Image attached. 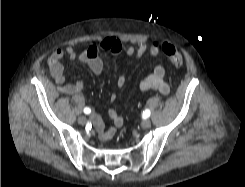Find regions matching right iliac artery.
<instances>
[{"label":"right iliac artery","mask_w":245,"mask_h":187,"mask_svg":"<svg viewBox=\"0 0 245 187\" xmlns=\"http://www.w3.org/2000/svg\"><path fill=\"white\" fill-rule=\"evenodd\" d=\"M90 112H91L90 108H88V107L84 108V113L85 114H89Z\"/></svg>","instance_id":"82829eb1"}]
</instances>
